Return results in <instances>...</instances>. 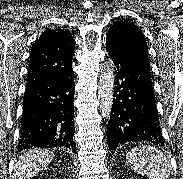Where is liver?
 Returning <instances> with one entry per match:
<instances>
[{"mask_svg": "<svg viewBox=\"0 0 183 179\" xmlns=\"http://www.w3.org/2000/svg\"><path fill=\"white\" fill-rule=\"evenodd\" d=\"M54 158L51 150L31 149L19 156L15 165V179H29L44 169Z\"/></svg>", "mask_w": 183, "mask_h": 179, "instance_id": "1", "label": "liver"}]
</instances>
